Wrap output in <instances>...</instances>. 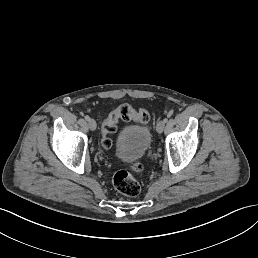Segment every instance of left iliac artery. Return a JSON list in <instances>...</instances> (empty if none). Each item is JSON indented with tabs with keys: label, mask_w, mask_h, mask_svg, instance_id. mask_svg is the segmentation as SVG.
Segmentation results:
<instances>
[{
	"label": "left iliac artery",
	"mask_w": 258,
	"mask_h": 258,
	"mask_svg": "<svg viewBox=\"0 0 258 258\" xmlns=\"http://www.w3.org/2000/svg\"><path fill=\"white\" fill-rule=\"evenodd\" d=\"M163 122L167 123L168 122V118H164Z\"/></svg>",
	"instance_id": "obj_1"
}]
</instances>
